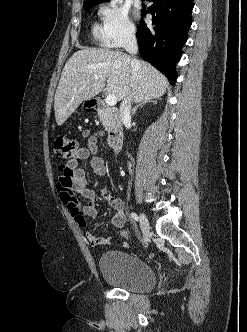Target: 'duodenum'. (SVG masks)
Listing matches in <instances>:
<instances>
[{
  "instance_id": "obj_1",
  "label": "duodenum",
  "mask_w": 247,
  "mask_h": 332,
  "mask_svg": "<svg viewBox=\"0 0 247 332\" xmlns=\"http://www.w3.org/2000/svg\"><path fill=\"white\" fill-rule=\"evenodd\" d=\"M92 107L109 121L110 146L114 151H119L122 146L123 131L119 122L117 111L107 106L101 99L93 100Z\"/></svg>"
}]
</instances>
